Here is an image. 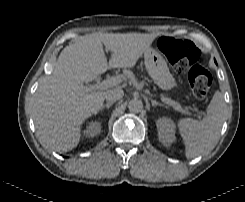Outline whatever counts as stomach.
I'll return each instance as SVG.
<instances>
[{
    "label": "stomach",
    "instance_id": "1",
    "mask_svg": "<svg viewBox=\"0 0 245 202\" xmlns=\"http://www.w3.org/2000/svg\"><path fill=\"white\" fill-rule=\"evenodd\" d=\"M144 63L149 76L160 89L168 91L176 86L175 78L158 49L150 47L144 53Z\"/></svg>",
    "mask_w": 245,
    "mask_h": 202
}]
</instances>
